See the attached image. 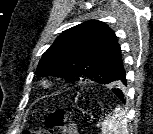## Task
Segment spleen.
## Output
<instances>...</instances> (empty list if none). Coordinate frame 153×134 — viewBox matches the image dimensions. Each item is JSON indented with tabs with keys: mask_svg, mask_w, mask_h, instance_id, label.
<instances>
[{
	"mask_svg": "<svg viewBox=\"0 0 153 134\" xmlns=\"http://www.w3.org/2000/svg\"><path fill=\"white\" fill-rule=\"evenodd\" d=\"M102 134H127V119L124 110L116 107L102 122Z\"/></svg>",
	"mask_w": 153,
	"mask_h": 134,
	"instance_id": "1",
	"label": "spleen"
}]
</instances>
